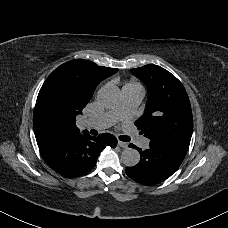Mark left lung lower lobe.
I'll return each instance as SVG.
<instances>
[{"instance_id": "obj_1", "label": "left lung lower lobe", "mask_w": 228, "mask_h": 228, "mask_svg": "<svg viewBox=\"0 0 228 228\" xmlns=\"http://www.w3.org/2000/svg\"><path fill=\"white\" fill-rule=\"evenodd\" d=\"M139 151L141 159L133 167L125 168L127 175L144 185H154L169 178L180 166L188 149L162 140H150L149 147Z\"/></svg>"}]
</instances>
